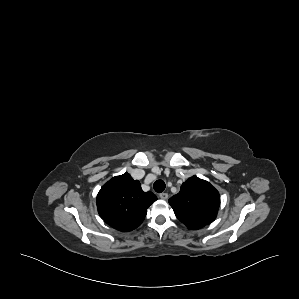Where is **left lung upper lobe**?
<instances>
[{"label":"left lung upper lobe","mask_w":299,"mask_h":299,"mask_svg":"<svg viewBox=\"0 0 299 299\" xmlns=\"http://www.w3.org/2000/svg\"><path fill=\"white\" fill-rule=\"evenodd\" d=\"M169 203L182 223L190 229H200L215 220L220 196L209 182L192 176Z\"/></svg>","instance_id":"left-lung-upper-lobe-1"}]
</instances>
